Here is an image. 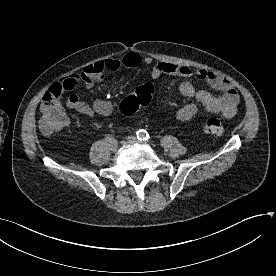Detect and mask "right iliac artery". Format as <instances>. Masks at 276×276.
I'll list each match as a JSON object with an SVG mask.
<instances>
[{
    "label": "right iliac artery",
    "mask_w": 276,
    "mask_h": 276,
    "mask_svg": "<svg viewBox=\"0 0 276 276\" xmlns=\"http://www.w3.org/2000/svg\"><path fill=\"white\" fill-rule=\"evenodd\" d=\"M106 142L107 144H110V143L116 142V140L112 136L108 135L106 137Z\"/></svg>",
    "instance_id": "82829eb1"
}]
</instances>
